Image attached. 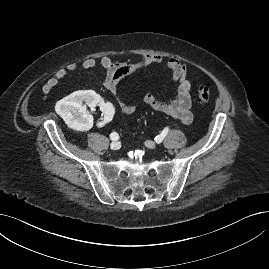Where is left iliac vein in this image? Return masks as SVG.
Returning a JSON list of instances; mask_svg holds the SVG:
<instances>
[{
	"instance_id": "4c4485c4",
	"label": "left iliac vein",
	"mask_w": 269,
	"mask_h": 269,
	"mask_svg": "<svg viewBox=\"0 0 269 269\" xmlns=\"http://www.w3.org/2000/svg\"><path fill=\"white\" fill-rule=\"evenodd\" d=\"M145 145L148 147V148H155L156 147V144L152 141H146L145 142Z\"/></svg>"
}]
</instances>
